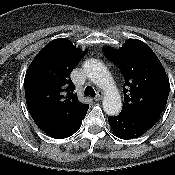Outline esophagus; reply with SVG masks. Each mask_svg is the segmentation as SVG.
I'll use <instances>...</instances> for the list:
<instances>
[{
    "mask_svg": "<svg viewBox=\"0 0 175 175\" xmlns=\"http://www.w3.org/2000/svg\"><path fill=\"white\" fill-rule=\"evenodd\" d=\"M104 96L102 91H98L96 97L94 98L95 101H100Z\"/></svg>",
    "mask_w": 175,
    "mask_h": 175,
    "instance_id": "obj_1",
    "label": "esophagus"
}]
</instances>
